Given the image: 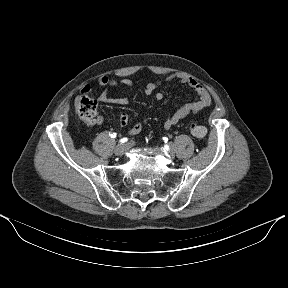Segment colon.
<instances>
[{
  "instance_id": "colon-1",
  "label": "colon",
  "mask_w": 288,
  "mask_h": 288,
  "mask_svg": "<svg viewBox=\"0 0 288 288\" xmlns=\"http://www.w3.org/2000/svg\"><path fill=\"white\" fill-rule=\"evenodd\" d=\"M74 107L78 116L84 122L88 124H97L99 117L95 99L87 94H81L76 98ZM190 132L196 138H203L207 134V129L197 123H191Z\"/></svg>"
}]
</instances>
